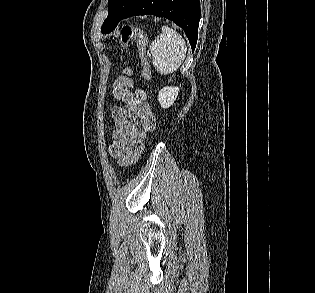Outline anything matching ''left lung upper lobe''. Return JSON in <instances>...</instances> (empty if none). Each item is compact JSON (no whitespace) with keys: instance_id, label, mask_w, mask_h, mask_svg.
Masks as SVG:
<instances>
[{"instance_id":"5c2ea615","label":"left lung upper lobe","mask_w":315,"mask_h":293,"mask_svg":"<svg viewBox=\"0 0 315 293\" xmlns=\"http://www.w3.org/2000/svg\"><path fill=\"white\" fill-rule=\"evenodd\" d=\"M139 0H108V17L105 19L101 31L104 34L113 31L124 16Z\"/></svg>"}]
</instances>
